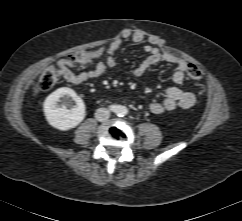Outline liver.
Segmentation results:
<instances>
[{"label":"liver","mask_w":242,"mask_h":221,"mask_svg":"<svg viewBox=\"0 0 242 221\" xmlns=\"http://www.w3.org/2000/svg\"><path fill=\"white\" fill-rule=\"evenodd\" d=\"M33 95L35 96L38 93V89L37 88H33Z\"/></svg>","instance_id":"obj_1"}]
</instances>
